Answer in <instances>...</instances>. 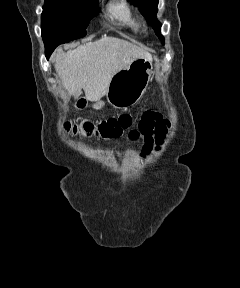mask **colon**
Wrapping results in <instances>:
<instances>
[{"label": "colon", "mask_w": 240, "mask_h": 288, "mask_svg": "<svg viewBox=\"0 0 240 288\" xmlns=\"http://www.w3.org/2000/svg\"><path fill=\"white\" fill-rule=\"evenodd\" d=\"M133 123L134 119L131 115L122 114L116 117H110L100 122L84 121L80 124L65 122L63 128L71 135L115 139L127 131Z\"/></svg>", "instance_id": "5ec220e1"}]
</instances>
